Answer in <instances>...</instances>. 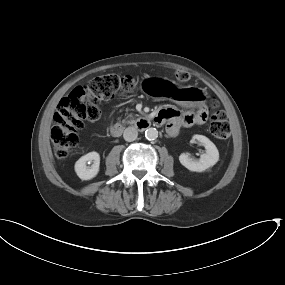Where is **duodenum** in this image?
<instances>
[{"label": "duodenum", "mask_w": 285, "mask_h": 285, "mask_svg": "<svg viewBox=\"0 0 285 285\" xmlns=\"http://www.w3.org/2000/svg\"><path fill=\"white\" fill-rule=\"evenodd\" d=\"M148 127H149V121H148L147 119H145V118L141 119V120L136 124V128H137L138 130H145V129H147ZM123 130H124V126H123V124H121V123H116V124L112 125V127H111V129H110L111 134H112L113 136H116V137L120 136V135L122 134Z\"/></svg>", "instance_id": "1"}]
</instances>
